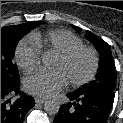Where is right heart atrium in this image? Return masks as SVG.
Segmentation results:
<instances>
[{
	"instance_id": "1",
	"label": "right heart atrium",
	"mask_w": 123,
	"mask_h": 123,
	"mask_svg": "<svg viewBox=\"0 0 123 123\" xmlns=\"http://www.w3.org/2000/svg\"><path fill=\"white\" fill-rule=\"evenodd\" d=\"M40 50L32 40L27 37L22 39L15 50V60L24 72H30L39 63Z\"/></svg>"
}]
</instances>
